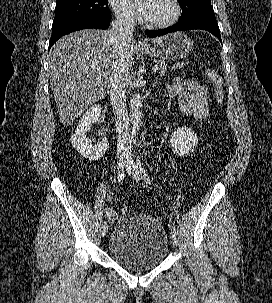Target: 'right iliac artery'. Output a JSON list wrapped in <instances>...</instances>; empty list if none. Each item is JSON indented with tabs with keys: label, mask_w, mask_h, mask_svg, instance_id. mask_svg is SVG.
Returning a JSON list of instances; mask_svg holds the SVG:
<instances>
[{
	"label": "right iliac artery",
	"mask_w": 272,
	"mask_h": 303,
	"mask_svg": "<svg viewBox=\"0 0 272 303\" xmlns=\"http://www.w3.org/2000/svg\"><path fill=\"white\" fill-rule=\"evenodd\" d=\"M117 179H118V182L121 184L122 181H123V179H124V171L123 170L122 171L121 170L118 171V173H117ZM105 225H107L106 221L104 222L103 226H105Z\"/></svg>",
	"instance_id": "1"
}]
</instances>
